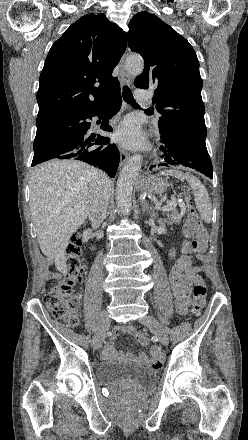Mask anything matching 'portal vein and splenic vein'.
<instances>
[{
    "instance_id": "1",
    "label": "portal vein and splenic vein",
    "mask_w": 248,
    "mask_h": 440,
    "mask_svg": "<svg viewBox=\"0 0 248 440\" xmlns=\"http://www.w3.org/2000/svg\"><path fill=\"white\" fill-rule=\"evenodd\" d=\"M176 205V203H168L167 205H165V206H163V207H160V205L158 204V203H156V205H155V209L156 210H162V211H169V210H171L172 209V207L173 206H175Z\"/></svg>"
}]
</instances>
